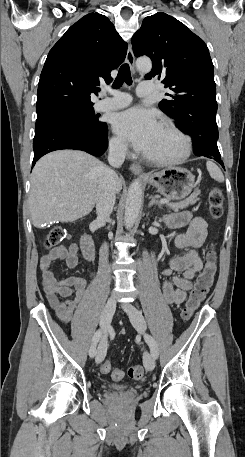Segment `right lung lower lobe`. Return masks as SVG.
Listing matches in <instances>:
<instances>
[{
  "label": "right lung lower lobe",
  "instance_id": "obj_1",
  "mask_svg": "<svg viewBox=\"0 0 245 457\" xmlns=\"http://www.w3.org/2000/svg\"><path fill=\"white\" fill-rule=\"evenodd\" d=\"M99 123L101 125L94 130L72 122H51L35 128L32 167L43 155L55 150H83L94 156L104 154L108 147L107 125Z\"/></svg>",
  "mask_w": 245,
  "mask_h": 457
}]
</instances>
